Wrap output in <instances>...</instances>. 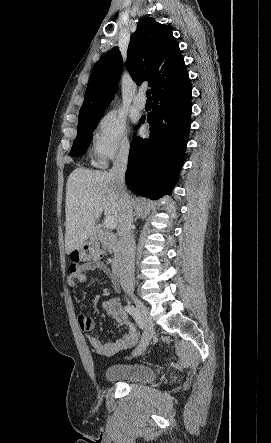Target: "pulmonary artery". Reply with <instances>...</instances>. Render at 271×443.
Here are the masks:
<instances>
[{
    "mask_svg": "<svg viewBox=\"0 0 271 443\" xmlns=\"http://www.w3.org/2000/svg\"><path fill=\"white\" fill-rule=\"evenodd\" d=\"M134 106L140 110H143L146 107L147 99L144 90H139L136 96L134 97Z\"/></svg>",
    "mask_w": 271,
    "mask_h": 443,
    "instance_id": "obj_1",
    "label": "pulmonary artery"
}]
</instances>
